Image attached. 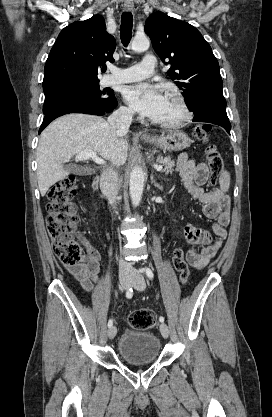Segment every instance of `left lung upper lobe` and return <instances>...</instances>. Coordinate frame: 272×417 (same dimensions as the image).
<instances>
[{"label": "left lung upper lobe", "instance_id": "5c2ea615", "mask_svg": "<svg viewBox=\"0 0 272 417\" xmlns=\"http://www.w3.org/2000/svg\"><path fill=\"white\" fill-rule=\"evenodd\" d=\"M145 33L161 60L171 64L167 74L184 91L187 107L194 115L230 123L219 64L201 33L160 11L149 16Z\"/></svg>", "mask_w": 272, "mask_h": 417}]
</instances>
